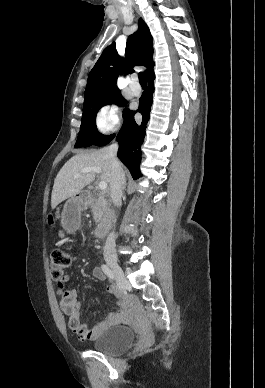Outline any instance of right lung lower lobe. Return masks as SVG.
Masks as SVG:
<instances>
[{
    "label": "right lung lower lobe",
    "instance_id": "right-lung-lower-lobe-1",
    "mask_svg": "<svg viewBox=\"0 0 265 388\" xmlns=\"http://www.w3.org/2000/svg\"><path fill=\"white\" fill-rule=\"evenodd\" d=\"M154 79V74L148 77V88L143 92L139 100V109L137 111L142 114V123L137 124L135 122L134 115L136 111H129L116 137V140L119 142L118 157L130 170L134 179L140 177L141 144L144 140L145 129L150 116Z\"/></svg>",
    "mask_w": 265,
    "mask_h": 388
}]
</instances>
